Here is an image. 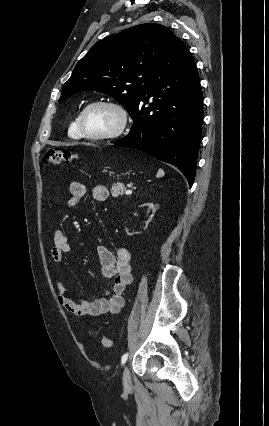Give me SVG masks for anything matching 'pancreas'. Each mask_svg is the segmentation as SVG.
Returning a JSON list of instances; mask_svg holds the SVG:
<instances>
[{
	"instance_id": "cf45deb5",
	"label": "pancreas",
	"mask_w": 269,
	"mask_h": 426,
	"mask_svg": "<svg viewBox=\"0 0 269 426\" xmlns=\"http://www.w3.org/2000/svg\"><path fill=\"white\" fill-rule=\"evenodd\" d=\"M125 191H126V187L124 184L122 183L113 184L111 188V195L113 197H118L120 195H123Z\"/></svg>"
}]
</instances>
